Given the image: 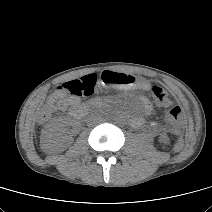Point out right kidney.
<instances>
[{"mask_svg": "<svg viewBox=\"0 0 212 212\" xmlns=\"http://www.w3.org/2000/svg\"><path fill=\"white\" fill-rule=\"evenodd\" d=\"M61 133L57 130H47L45 137L42 139V147L55 146L61 141ZM68 139L66 140V143Z\"/></svg>", "mask_w": 212, "mask_h": 212, "instance_id": "obj_1", "label": "right kidney"}]
</instances>
